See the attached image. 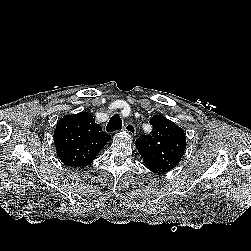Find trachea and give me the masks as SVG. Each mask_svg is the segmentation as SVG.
<instances>
[{"label":"trachea","mask_w":251,"mask_h":251,"mask_svg":"<svg viewBox=\"0 0 251 251\" xmlns=\"http://www.w3.org/2000/svg\"><path fill=\"white\" fill-rule=\"evenodd\" d=\"M122 127V120L118 114H115L111 117L110 121L107 124V132H115Z\"/></svg>","instance_id":"3493384b"}]
</instances>
